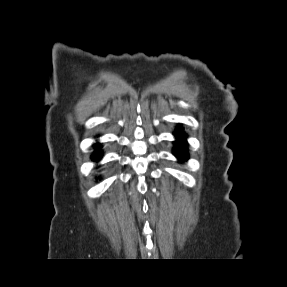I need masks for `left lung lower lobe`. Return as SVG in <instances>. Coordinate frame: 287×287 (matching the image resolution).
I'll return each mask as SVG.
<instances>
[{"label":"left lung lower lobe","instance_id":"obj_1","mask_svg":"<svg viewBox=\"0 0 287 287\" xmlns=\"http://www.w3.org/2000/svg\"><path fill=\"white\" fill-rule=\"evenodd\" d=\"M175 137H176V141L174 142L175 144V148L173 151V154L179 159V161H184L188 159L187 156V142H186V138L187 136L184 135V133L181 131V128L179 127V130H177L174 133Z\"/></svg>","mask_w":287,"mask_h":287}]
</instances>
